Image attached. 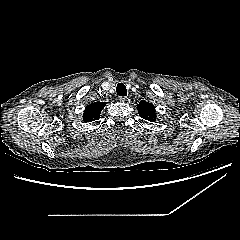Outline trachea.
Here are the masks:
<instances>
[{
  "label": "trachea",
  "mask_w": 240,
  "mask_h": 240,
  "mask_svg": "<svg viewBox=\"0 0 240 240\" xmlns=\"http://www.w3.org/2000/svg\"><path fill=\"white\" fill-rule=\"evenodd\" d=\"M116 92H117V95H119V96H126V95H127L126 87H125V85L122 84V83H119V84L116 86Z\"/></svg>",
  "instance_id": "1"
}]
</instances>
